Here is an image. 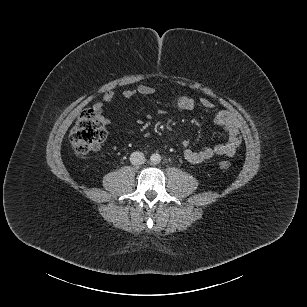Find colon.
<instances>
[{"mask_svg":"<svg viewBox=\"0 0 307 307\" xmlns=\"http://www.w3.org/2000/svg\"><path fill=\"white\" fill-rule=\"evenodd\" d=\"M106 138V129L93 109L82 112L70 132V144L75 155L85 156L97 150ZM221 169H229L231 163L227 160L219 162Z\"/></svg>","mask_w":307,"mask_h":307,"instance_id":"obj_1","label":"colon"}]
</instances>
